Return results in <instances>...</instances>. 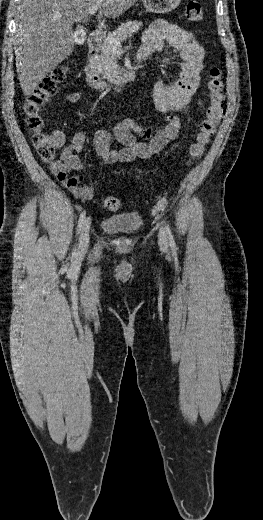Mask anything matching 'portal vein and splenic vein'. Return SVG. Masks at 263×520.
I'll return each mask as SVG.
<instances>
[{
	"mask_svg": "<svg viewBox=\"0 0 263 520\" xmlns=\"http://www.w3.org/2000/svg\"><path fill=\"white\" fill-rule=\"evenodd\" d=\"M97 10H98V6H93V7L89 8L88 14L93 15L97 12ZM109 44L112 46L113 49H117L121 46V42L118 40H109Z\"/></svg>",
	"mask_w": 263,
	"mask_h": 520,
	"instance_id": "1",
	"label": "portal vein and splenic vein"
}]
</instances>
